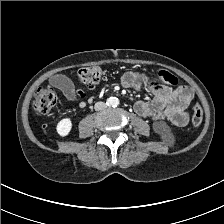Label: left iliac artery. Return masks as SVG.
<instances>
[{
	"instance_id": "left-iliac-artery-1",
	"label": "left iliac artery",
	"mask_w": 224,
	"mask_h": 224,
	"mask_svg": "<svg viewBox=\"0 0 224 224\" xmlns=\"http://www.w3.org/2000/svg\"><path fill=\"white\" fill-rule=\"evenodd\" d=\"M114 107H117L118 105H119V100H118V98H115L114 99Z\"/></svg>"
}]
</instances>
